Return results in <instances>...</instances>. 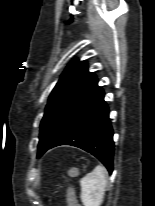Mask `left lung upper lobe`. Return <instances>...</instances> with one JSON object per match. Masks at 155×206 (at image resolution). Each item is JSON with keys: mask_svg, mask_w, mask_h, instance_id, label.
<instances>
[{"mask_svg": "<svg viewBox=\"0 0 155 206\" xmlns=\"http://www.w3.org/2000/svg\"><path fill=\"white\" fill-rule=\"evenodd\" d=\"M86 61L73 60L54 87L40 125L38 154L62 137L104 92Z\"/></svg>", "mask_w": 155, "mask_h": 206, "instance_id": "1", "label": "left lung upper lobe"}]
</instances>
